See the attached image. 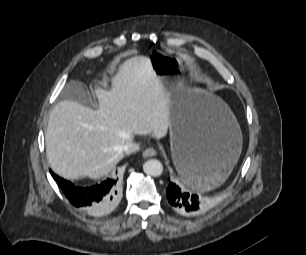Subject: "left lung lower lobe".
Segmentation results:
<instances>
[{"instance_id":"left-lung-lower-lobe-1","label":"left lung lower lobe","mask_w":306,"mask_h":255,"mask_svg":"<svg viewBox=\"0 0 306 255\" xmlns=\"http://www.w3.org/2000/svg\"><path fill=\"white\" fill-rule=\"evenodd\" d=\"M206 172L203 166L191 160H184L181 168L182 179H203ZM170 206L178 213L186 216L198 215L208 207V199L196 194H189L175 183H170L166 190Z\"/></svg>"}]
</instances>
